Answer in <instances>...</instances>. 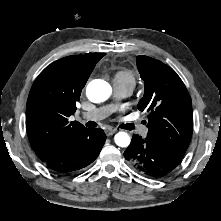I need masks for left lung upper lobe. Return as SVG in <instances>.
Returning <instances> with one entry per match:
<instances>
[{
	"mask_svg": "<svg viewBox=\"0 0 221 221\" xmlns=\"http://www.w3.org/2000/svg\"><path fill=\"white\" fill-rule=\"evenodd\" d=\"M136 63L144 81L137 107L149 113L147 137L183 157L193 132L190 95L177 73L161 61L137 56Z\"/></svg>",
	"mask_w": 221,
	"mask_h": 221,
	"instance_id": "5c2ea615",
	"label": "left lung upper lobe"
}]
</instances>
